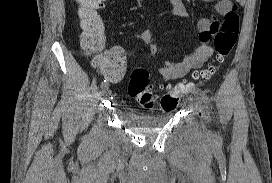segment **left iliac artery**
Instances as JSON below:
<instances>
[{
	"label": "left iliac artery",
	"mask_w": 272,
	"mask_h": 183,
	"mask_svg": "<svg viewBox=\"0 0 272 183\" xmlns=\"http://www.w3.org/2000/svg\"><path fill=\"white\" fill-rule=\"evenodd\" d=\"M192 93L197 96L199 99L203 100L205 103H209L208 97L199 89H193Z\"/></svg>",
	"instance_id": "44dca946"
}]
</instances>
